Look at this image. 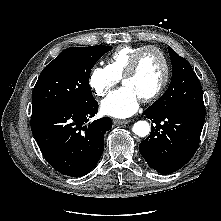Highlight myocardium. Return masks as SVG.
I'll return each mask as SVG.
<instances>
[{"mask_svg":"<svg viewBox=\"0 0 221 221\" xmlns=\"http://www.w3.org/2000/svg\"><path fill=\"white\" fill-rule=\"evenodd\" d=\"M149 51H156L161 56L164 72H163V77L161 79V82L159 83L156 90L153 93H151L150 95L141 99L142 102H144V103L152 102L155 99H157L163 93V91L166 88L167 83L169 81L170 67H169V62H168L167 56L164 53V51L154 45H148V46L141 48L132 57L127 69L125 70L124 74L121 77V82L123 83L125 79L134 75L138 69V65H139L141 57L143 56V54H145L146 52H149Z\"/></svg>","mask_w":221,"mask_h":221,"instance_id":"f54148a6","label":"myocardium"}]
</instances>
